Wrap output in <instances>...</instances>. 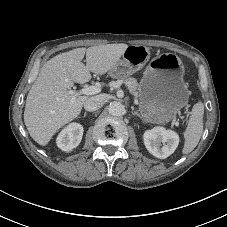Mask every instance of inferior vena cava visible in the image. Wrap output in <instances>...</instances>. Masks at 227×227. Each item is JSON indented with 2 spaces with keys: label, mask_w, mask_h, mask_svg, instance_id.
<instances>
[{
  "label": "inferior vena cava",
  "mask_w": 227,
  "mask_h": 227,
  "mask_svg": "<svg viewBox=\"0 0 227 227\" xmlns=\"http://www.w3.org/2000/svg\"><path fill=\"white\" fill-rule=\"evenodd\" d=\"M106 102V98L103 95H97V96H93L88 98L85 103H84V109L86 111H96L99 108H101L104 103Z\"/></svg>",
  "instance_id": "602c4592"
}]
</instances>
